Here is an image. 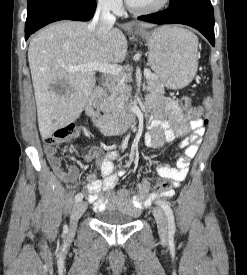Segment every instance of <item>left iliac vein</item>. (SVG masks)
Instances as JSON below:
<instances>
[{
	"instance_id": "4c4485c4",
	"label": "left iliac vein",
	"mask_w": 247,
	"mask_h": 275,
	"mask_svg": "<svg viewBox=\"0 0 247 275\" xmlns=\"http://www.w3.org/2000/svg\"><path fill=\"white\" fill-rule=\"evenodd\" d=\"M153 215L157 224L158 232L161 238L168 237V223L165 213L159 207L153 209Z\"/></svg>"
}]
</instances>
